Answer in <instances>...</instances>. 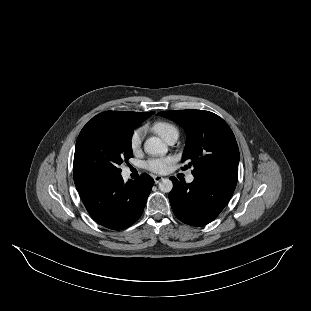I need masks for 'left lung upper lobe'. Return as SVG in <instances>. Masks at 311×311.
<instances>
[{"label":"left lung upper lobe","instance_id":"obj_1","mask_svg":"<svg viewBox=\"0 0 311 311\" xmlns=\"http://www.w3.org/2000/svg\"><path fill=\"white\" fill-rule=\"evenodd\" d=\"M157 115L184 128L187 141L182 161L187 160L188 166L194 168L193 176L224 172L238 174L237 142L221 117L203 110L163 111Z\"/></svg>","mask_w":311,"mask_h":311}]
</instances>
